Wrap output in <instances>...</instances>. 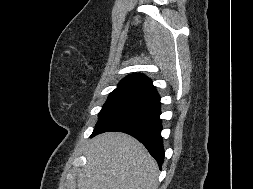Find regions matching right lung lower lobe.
Listing matches in <instances>:
<instances>
[{"label": "right lung lower lobe", "mask_w": 253, "mask_h": 189, "mask_svg": "<svg viewBox=\"0 0 253 189\" xmlns=\"http://www.w3.org/2000/svg\"><path fill=\"white\" fill-rule=\"evenodd\" d=\"M160 114V97L155 91L106 117L96 125L91 137L106 131L128 133L144 144L161 168L164 148Z\"/></svg>", "instance_id": "obj_1"}]
</instances>
